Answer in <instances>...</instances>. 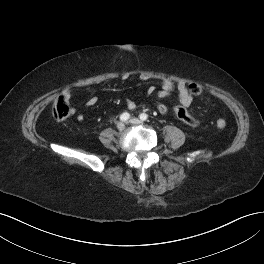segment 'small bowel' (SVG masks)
<instances>
[{"label": "small bowel", "mask_w": 264, "mask_h": 264, "mask_svg": "<svg viewBox=\"0 0 264 264\" xmlns=\"http://www.w3.org/2000/svg\"><path fill=\"white\" fill-rule=\"evenodd\" d=\"M128 79L127 75L122 76V80L125 81ZM142 80H147L148 78L146 76L141 77ZM176 89L179 97L180 103L185 106L189 107L193 101L192 95L189 93L187 86L184 82H178L176 85L169 79H164L161 84V90L157 93V110L161 114H165L167 112V106L162 102L166 97H168L174 90ZM155 93V87L150 86L147 89V94L148 95H153ZM72 96V91L71 90H66L63 92V97L66 100H69ZM97 103V97L96 96H91L86 104L88 106H93ZM127 106L129 109L135 108L134 102L131 100L127 101ZM84 117L83 115H78L77 120L78 121H83Z\"/></svg>", "instance_id": "1"}]
</instances>
